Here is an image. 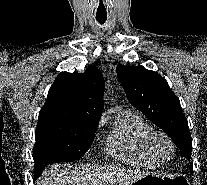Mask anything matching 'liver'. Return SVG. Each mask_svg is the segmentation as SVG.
<instances>
[{"instance_id":"1","label":"liver","mask_w":207,"mask_h":185,"mask_svg":"<svg viewBox=\"0 0 207 185\" xmlns=\"http://www.w3.org/2000/svg\"><path fill=\"white\" fill-rule=\"evenodd\" d=\"M65 169L66 165H52L51 169H46L43 177L37 181V185H87V179L84 177L86 175L85 169L82 173H77L73 167H70L73 171L68 177H64L66 175Z\"/></svg>"}]
</instances>
